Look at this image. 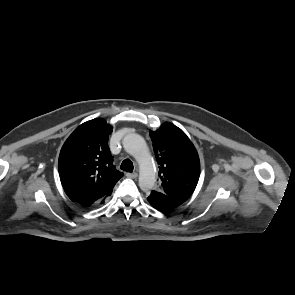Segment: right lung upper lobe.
<instances>
[{
  "instance_id": "right-lung-upper-lobe-1",
  "label": "right lung upper lobe",
  "mask_w": 295,
  "mask_h": 295,
  "mask_svg": "<svg viewBox=\"0 0 295 295\" xmlns=\"http://www.w3.org/2000/svg\"><path fill=\"white\" fill-rule=\"evenodd\" d=\"M113 128L102 118L81 124L64 143L58 161L67 196L90 206L110 193L123 176L113 165L108 137Z\"/></svg>"
}]
</instances>
